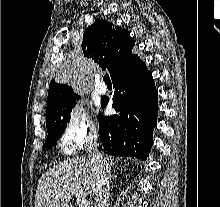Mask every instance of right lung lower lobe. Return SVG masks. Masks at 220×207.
<instances>
[{
  "label": "right lung lower lobe",
  "instance_id": "obj_1",
  "mask_svg": "<svg viewBox=\"0 0 220 207\" xmlns=\"http://www.w3.org/2000/svg\"><path fill=\"white\" fill-rule=\"evenodd\" d=\"M115 92L110 117L99 114V133L110 155L146 160L158 116V91L152 74L137 54L120 63L111 76ZM108 98L101 101L105 107Z\"/></svg>",
  "mask_w": 220,
  "mask_h": 207
}]
</instances>
